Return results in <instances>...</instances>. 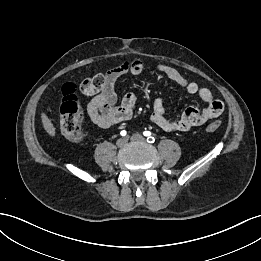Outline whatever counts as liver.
Returning a JSON list of instances; mask_svg holds the SVG:
<instances>
[{
	"label": "liver",
	"instance_id": "liver-1",
	"mask_svg": "<svg viewBox=\"0 0 261 261\" xmlns=\"http://www.w3.org/2000/svg\"><path fill=\"white\" fill-rule=\"evenodd\" d=\"M41 121H42V125L43 128L45 129V131L51 136L54 137L55 136V127L52 124L51 120L48 118V116L45 113H41Z\"/></svg>",
	"mask_w": 261,
	"mask_h": 261
}]
</instances>
